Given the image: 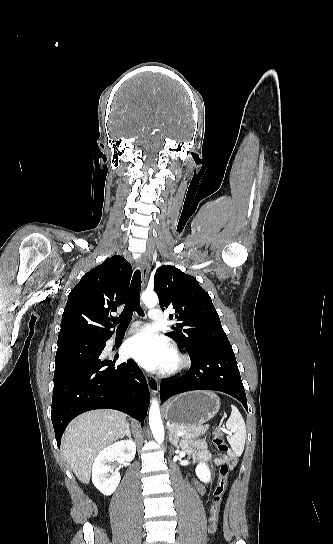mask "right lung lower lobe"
Wrapping results in <instances>:
<instances>
[{"label": "right lung lower lobe", "instance_id": "right-lung-lower-lobe-1", "mask_svg": "<svg viewBox=\"0 0 333 544\" xmlns=\"http://www.w3.org/2000/svg\"><path fill=\"white\" fill-rule=\"evenodd\" d=\"M109 338L58 346L51 412L58 447L69 422L86 411L115 409L139 421L146 417L150 394L145 377L132 359L115 368L118 355L101 356Z\"/></svg>", "mask_w": 333, "mask_h": 544}]
</instances>
